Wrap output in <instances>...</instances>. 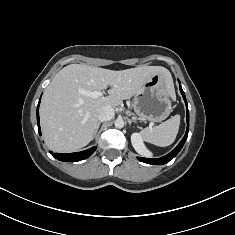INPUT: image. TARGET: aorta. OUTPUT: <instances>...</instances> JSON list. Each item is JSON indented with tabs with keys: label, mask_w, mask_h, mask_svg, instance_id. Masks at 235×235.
<instances>
[{
	"label": "aorta",
	"mask_w": 235,
	"mask_h": 235,
	"mask_svg": "<svg viewBox=\"0 0 235 235\" xmlns=\"http://www.w3.org/2000/svg\"><path fill=\"white\" fill-rule=\"evenodd\" d=\"M116 128H123L124 127V121L122 119H117L114 123Z\"/></svg>",
	"instance_id": "762f6f07"
}]
</instances>
